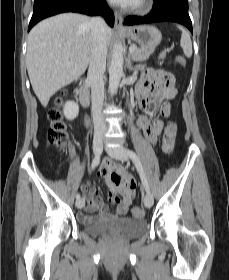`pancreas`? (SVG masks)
Segmentation results:
<instances>
[{
	"instance_id": "pancreas-1",
	"label": "pancreas",
	"mask_w": 229,
	"mask_h": 280,
	"mask_svg": "<svg viewBox=\"0 0 229 280\" xmlns=\"http://www.w3.org/2000/svg\"><path fill=\"white\" fill-rule=\"evenodd\" d=\"M134 47L136 48V51L130 53L134 61H146L154 51V49L138 48L137 46ZM165 57H166V51L160 53L159 59H164Z\"/></svg>"
}]
</instances>
